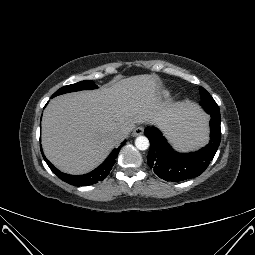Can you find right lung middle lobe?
<instances>
[{
    "label": "right lung middle lobe",
    "instance_id": "obj_1",
    "mask_svg": "<svg viewBox=\"0 0 255 255\" xmlns=\"http://www.w3.org/2000/svg\"><path fill=\"white\" fill-rule=\"evenodd\" d=\"M96 88H97V85H95L94 82H92L90 80H85V81H81V82L71 84V85H67V86H64V87L60 88L58 91H56L52 95V98L57 96V95L68 93V92L79 91V90H88V89H96Z\"/></svg>",
    "mask_w": 255,
    "mask_h": 255
}]
</instances>
